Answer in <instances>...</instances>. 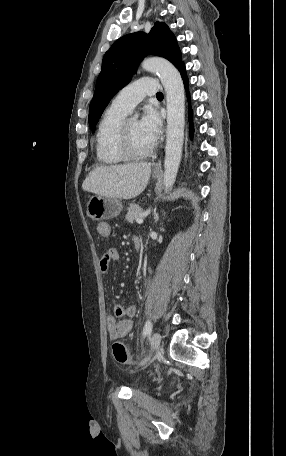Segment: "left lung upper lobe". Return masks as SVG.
<instances>
[{"label": "left lung upper lobe", "instance_id": "1", "mask_svg": "<svg viewBox=\"0 0 286 456\" xmlns=\"http://www.w3.org/2000/svg\"><path fill=\"white\" fill-rule=\"evenodd\" d=\"M147 54L164 57L176 68L183 63L176 38L164 22H156L149 34L137 32L116 40L104 55L90 103L88 120L92 131L110 100L128 84Z\"/></svg>", "mask_w": 286, "mask_h": 456}]
</instances>
